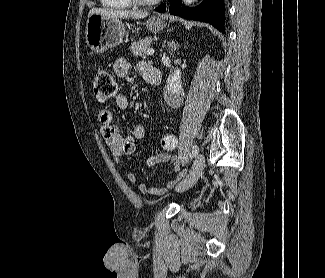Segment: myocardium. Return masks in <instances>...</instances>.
<instances>
[{"instance_id":"myocardium-1","label":"myocardium","mask_w":325,"mask_h":278,"mask_svg":"<svg viewBox=\"0 0 325 278\" xmlns=\"http://www.w3.org/2000/svg\"><path fill=\"white\" fill-rule=\"evenodd\" d=\"M132 5L135 6H149L156 4L160 0H128Z\"/></svg>"}]
</instances>
